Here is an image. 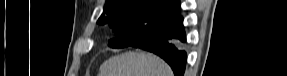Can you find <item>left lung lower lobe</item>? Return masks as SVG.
<instances>
[{
  "label": "left lung lower lobe",
  "mask_w": 287,
  "mask_h": 76,
  "mask_svg": "<svg viewBox=\"0 0 287 76\" xmlns=\"http://www.w3.org/2000/svg\"><path fill=\"white\" fill-rule=\"evenodd\" d=\"M185 41L183 19L178 12L129 46L159 55L171 66L175 76H183L186 52L182 43Z\"/></svg>",
  "instance_id": "left-lung-lower-lobe-1"
}]
</instances>
